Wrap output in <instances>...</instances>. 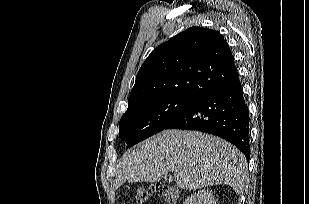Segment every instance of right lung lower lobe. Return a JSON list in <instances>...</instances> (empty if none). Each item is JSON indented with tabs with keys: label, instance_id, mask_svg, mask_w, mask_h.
<instances>
[{
	"label": "right lung lower lobe",
	"instance_id": "98d812e1",
	"mask_svg": "<svg viewBox=\"0 0 309 204\" xmlns=\"http://www.w3.org/2000/svg\"><path fill=\"white\" fill-rule=\"evenodd\" d=\"M166 129L197 130L235 145L248 159L249 112L239 76L203 95Z\"/></svg>",
	"mask_w": 309,
	"mask_h": 204
}]
</instances>
